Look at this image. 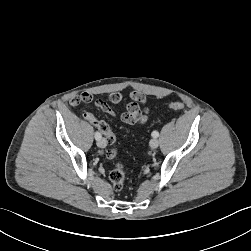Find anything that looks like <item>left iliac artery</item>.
Wrapping results in <instances>:
<instances>
[{
	"label": "left iliac artery",
	"mask_w": 251,
	"mask_h": 251,
	"mask_svg": "<svg viewBox=\"0 0 251 251\" xmlns=\"http://www.w3.org/2000/svg\"><path fill=\"white\" fill-rule=\"evenodd\" d=\"M152 136H153L154 138H157V137L159 136V133H158L157 131H153V132H152Z\"/></svg>",
	"instance_id": "1"
}]
</instances>
